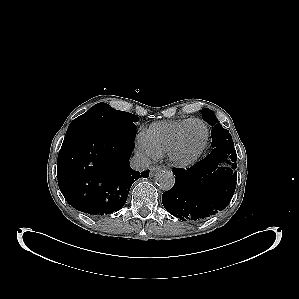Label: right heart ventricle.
<instances>
[{"mask_svg": "<svg viewBox=\"0 0 299 299\" xmlns=\"http://www.w3.org/2000/svg\"><path fill=\"white\" fill-rule=\"evenodd\" d=\"M190 119L153 123L141 135L146 143L160 155L167 151L180 128Z\"/></svg>", "mask_w": 299, "mask_h": 299, "instance_id": "obj_1", "label": "right heart ventricle"}]
</instances>
